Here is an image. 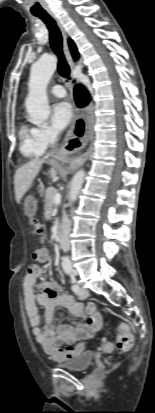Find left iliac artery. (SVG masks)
<instances>
[{
    "label": "left iliac artery",
    "instance_id": "obj_1",
    "mask_svg": "<svg viewBox=\"0 0 155 413\" xmlns=\"http://www.w3.org/2000/svg\"><path fill=\"white\" fill-rule=\"evenodd\" d=\"M67 273H68L72 278L75 277V272H74L73 270H69V271H67ZM78 290H79L78 284L72 285V291H73V292L77 293Z\"/></svg>",
    "mask_w": 155,
    "mask_h": 413
}]
</instances>
